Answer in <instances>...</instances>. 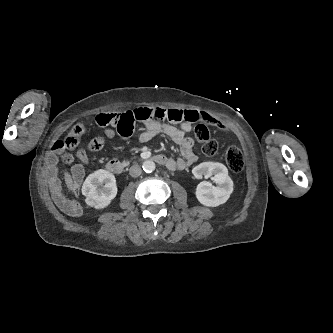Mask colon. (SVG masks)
<instances>
[{"label": "colon", "instance_id": "5ec220e1", "mask_svg": "<svg viewBox=\"0 0 333 333\" xmlns=\"http://www.w3.org/2000/svg\"><path fill=\"white\" fill-rule=\"evenodd\" d=\"M96 122L99 126L115 127L118 133H122L130 128V121L128 115L125 112L101 113L96 117ZM194 132L198 142L201 143V149L203 154L206 156L215 155L218 151V143L210 137L207 127L204 124L198 123L195 126ZM84 133L85 126L81 123L75 124L65 138L57 140L53 144V154L59 156L63 154L66 150L77 149L80 143V139ZM104 143V138H94L88 143L87 149L91 152L98 151L103 148ZM225 160L229 169L234 173H239L244 168L243 153L241 149L236 145H231L228 147L225 154Z\"/></svg>", "mask_w": 333, "mask_h": 333}]
</instances>
